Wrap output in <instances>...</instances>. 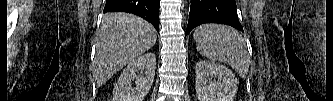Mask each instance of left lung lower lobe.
Segmentation results:
<instances>
[{
    "label": "left lung lower lobe",
    "instance_id": "obj_1",
    "mask_svg": "<svg viewBox=\"0 0 333 101\" xmlns=\"http://www.w3.org/2000/svg\"><path fill=\"white\" fill-rule=\"evenodd\" d=\"M204 23L226 24L243 32L235 0H191L185 36L193 28Z\"/></svg>",
    "mask_w": 333,
    "mask_h": 101
}]
</instances>
